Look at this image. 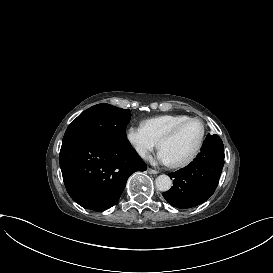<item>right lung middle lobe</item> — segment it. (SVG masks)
<instances>
[{"mask_svg": "<svg viewBox=\"0 0 273 273\" xmlns=\"http://www.w3.org/2000/svg\"><path fill=\"white\" fill-rule=\"evenodd\" d=\"M129 116L128 109H120L106 103L92 106L72 121L62 143L72 139H91L131 146L125 133Z\"/></svg>", "mask_w": 273, "mask_h": 273, "instance_id": "dd1d6c3e", "label": "right lung middle lobe"}]
</instances>
